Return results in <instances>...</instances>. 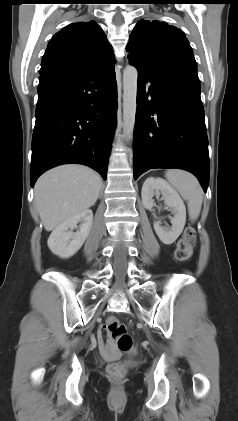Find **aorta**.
<instances>
[{
    "instance_id": "aorta-1",
    "label": "aorta",
    "mask_w": 238,
    "mask_h": 421,
    "mask_svg": "<svg viewBox=\"0 0 238 421\" xmlns=\"http://www.w3.org/2000/svg\"><path fill=\"white\" fill-rule=\"evenodd\" d=\"M138 71L128 65L123 72V130L126 140H131L135 125L137 107Z\"/></svg>"
}]
</instances>
